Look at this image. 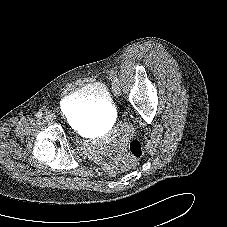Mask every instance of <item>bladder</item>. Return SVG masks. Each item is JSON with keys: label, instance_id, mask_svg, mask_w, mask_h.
Returning <instances> with one entry per match:
<instances>
[{"label": "bladder", "instance_id": "1", "mask_svg": "<svg viewBox=\"0 0 227 227\" xmlns=\"http://www.w3.org/2000/svg\"><path fill=\"white\" fill-rule=\"evenodd\" d=\"M64 104L69 120L79 131L90 130L91 125L105 121L112 113L108 89L99 82L72 92L66 97Z\"/></svg>", "mask_w": 227, "mask_h": 227}]
</instances>
